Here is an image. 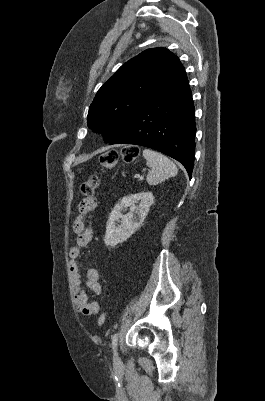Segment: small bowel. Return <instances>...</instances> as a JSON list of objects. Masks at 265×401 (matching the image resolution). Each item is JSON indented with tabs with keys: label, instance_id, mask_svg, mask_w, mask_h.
Masks as SVG:
<instances>
[{
	"label": "small bowel",
	"instance_id": "obj_1",
	"mask_svg": "<svg viewBox=\"0 0 265 401\" xmlns=\"http://www.w3.org/2000/svg\"><path fill=\"white\" fill-rule=\"evenodd\" d=\"M97 199L88 197L83 199L78 205V216L73 222V232L76 234L75 244L70 248V277L72 294L76 308L83 316L94 315L99 311V304L90 300L82 287L81 276L78 266V258L80 257L82 248L86 247L93 237L91 226H86L84 217L97 208ZM85 286L90 289L94 295L99 296L102 293V285L100 283V273L95 268H89L86 272Z\"/></svg>",
	"mask_w": 265,
	"mask_h": 401
}]
</instances>
